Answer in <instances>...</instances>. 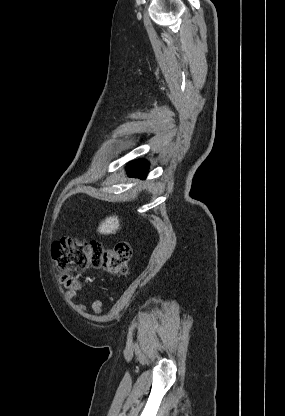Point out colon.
<instances>
[{
    "label": "colon",
    "mask_w": 285,
    "mask_h": 416,
    "mask_svg": "<svg viewBox=\"0 0 285 416\" xmlns=\"http://www.w3.org/2000/svg\"><path fill=\"white\" fill-rule=\"evenodd\" d=\"M51 250L62 283L73 291L80 288L78 275L88 268L103 270L114 276L125 275L132 254L131 246L126 242L105 247L96 240L69 237L53 243Z\"/></svg>",
    "instance_id": "1"
}]
</instances>
